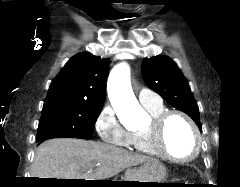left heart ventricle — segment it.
I'll list each match as a JSON object with an SVG mask.
<instances>
[{
	"label": "left heart ventricle",
	"instance_id": "1",
	"mask_svg": "<svg viewBox=\"0 0 240 187\" xmlns=\"http://www.w3.org/2000/svg\"><path fill=\"white\" fill-rule=\"evenodd\" d=\"M195 138L190 126L180 116H172L164 128L163 146L178 158L190 156L194 150Z\"/></svg>",
	"mask_w": 240,
	"mask_h": 187
}]
</instances>
